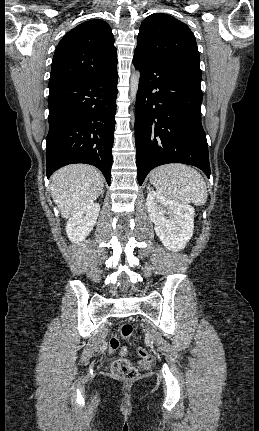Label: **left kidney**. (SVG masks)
<instances>
[{
	"label": "left kidney",
	"instance_id": "obj_1",
	"mask_svg": "<svg viewBox=\"0 0 259 431\" xmlns=\"http://www.w3.org/2000/svg\"><path fill=\"white\" fill-rule=\"evenodd\" d=\"M146 206L155 232L162 244L171 251L184 249L194 230L195 210L188 204L169 199L150 191Z\"/></svg>",
	"mask_w": 259,
	"mask_h": 431
}]
</instances>
